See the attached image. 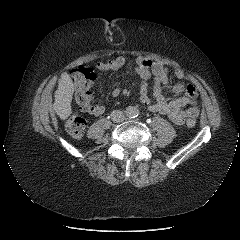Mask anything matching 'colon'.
<instances>
[{"instance_id": "5ec220e1", "label": "colon", "mask_w": 240, "mask_h": 240, "mask_svg": "<svg viewBox=\"0 0 240 240\" xmlns=\"http://www.w3.org/2000/svg\"><path fill=\"white\" fill-rule=\"evenodd\" d=\"M71 78L75 89V100L82 109L88 110L91 107L92 96L90 87L96 76L89 67L77 66L71 70ZM188 127L196 125L195 118H188ZM86 129V120L79 114L71 115L66 121V130L75 139H81Z\"/></svg>"}]
</instances>
